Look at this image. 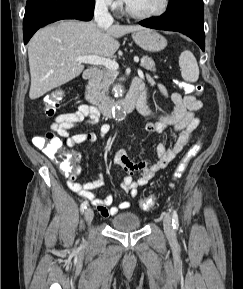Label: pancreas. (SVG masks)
I'll return each instance as SVG.
<instances>
[{
  "mask_svg": "<svg viewBox=\"0 0 243 289\" xmlns=\"http://www.w3.org/2000/svg\"><path fill=\"white\" fill-rule=\"evenodd\" d=\"M141 67L149 71H156L155 63L151 57L143 56ZM118 76L116 70L104 69L99 71L97 76L89 83V91L97 102H105L109 99L107 92L114 79Z\"/></svg>",
  "mask_w": 243,
  "mask_h": 289,
  "instance_id": "pancreas-1",
  "label": "pancreas"
}]
</instances>
